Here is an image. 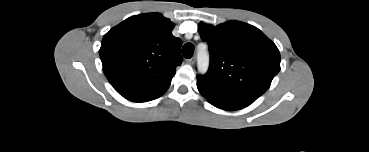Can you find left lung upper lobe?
Wrapping results in <instances>:
<instances>
[{"label":"left lung upper lobe","mask_w":369,"mask_h":152,"mask_svg":"<svg viewBox=\"0 0 369 152\" xmlns=\"http://www.w3.org/2000/svg\"><path fill=\"white\" fill-rule=\"evenodd\" d=\"M208 43L210 66L197 80L214 88L258 98L280 71L276 45L258 28L239 21L218 26L200 23Z\"/></svg>","instance_id":"5c2ea615"}]
</instances>
